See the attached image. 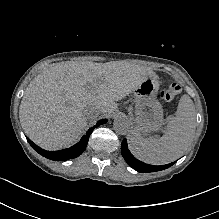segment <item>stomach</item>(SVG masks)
<instances>
[{"instance_id":"stomach-1","label":"stomach","mask_w":219,"mask_h":219,"mask_svg":"<svg viewBox=\"0 0 219 219\" xmlns=\"http://www.w3.org/2000/svg\"><path fill=\"white\" fill-rule=\"evenodd\" d=\"M159 86L157 79L147 77L133 90L135 122L145 133L159 130L164 122L162 105L157 99Z\"/></svg>"}]
</instances>
